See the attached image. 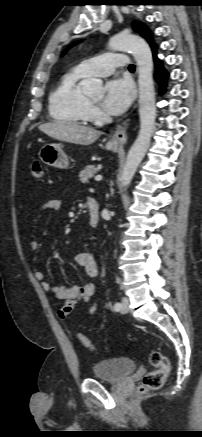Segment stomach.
<instances>
[{
  "label": "stomach",
  "instance_id": "0dacf381",
  "mask_svg": "<svg viewBox=\"0 0 202 437\" xmlns=\"http://www.w3.org/2000/svg\"><path fill=\"white\" fill-rule=\"evenodd\" d=\"M105 148L112 152H116L119 149V144L113 141H108ZM39 157L41 161L48 166L60 169H65L69 166L68 156L65 154L60 144H45L39 151Z\"/></svg>",
  "mask_w": 202,
  "mask_h": 437
}]
</instances>
